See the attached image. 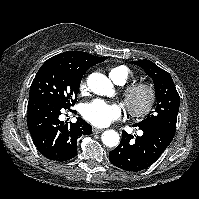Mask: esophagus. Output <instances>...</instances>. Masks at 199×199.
<instances>
[{
  "label": "esophagus",
  "instance_id": "34e87169",
  "mask_svg": "<svg viewBox=\"0 0 199 199\" xmlns=\"http://www.w3.org/2000/svg\"><path fill=\"white\" fill-rule=\"evenodd\" d=\"M102 131H103V129L93 128V133H94V134L101 133Z\"/></svg>",
  "mask_w": 199,
  "mask_h": 199
}]
</instances>
